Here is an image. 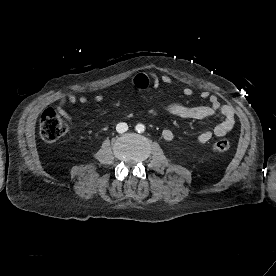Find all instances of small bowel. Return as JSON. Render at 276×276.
I'll use <instances>...</instances> for the list:
<instances>
[{
    "mask_svg": "<svg viewBox=\"0 0 276 276\" xmlns=\"http://www.w3.org/2000/svg\"><path fill=\"white\" fill-rule=\"evenodd\" d=\"M172 83L173 80L170 76H158L152 72H140L133 78V85L141 90L147 89L150 86L158 87L160 84L170 86ZM182 93L184 96L189 97L192 96L194 92L192 88L185 87ZM199 96L201 99H208L209 105L188 106L172 102L160 104V108L172 116L191 120H201L217 113L221 114L223 119L220 123H218L212 130L203 131L198 135L197 140L200 143H207L213 136L222 137L227 135L235 125L234 110L230 106L222 104L215 95L210 94L208 91L201 92ZM103 99L104 96L101 94L95 96L96 102H101ZM86 102V97H78L75 94L70 93L61 97L57 110L61 116L71 121L70 115L65 110V104H85ZM162 137L166 141H171L174 138V134L170 129H164L162 131Z\"/></svg>",
    "mask_w": 276,
    "mask_h": 276,
    "instance_id": "obj_1",
    "label": "small bowel"
}]
</instances>
